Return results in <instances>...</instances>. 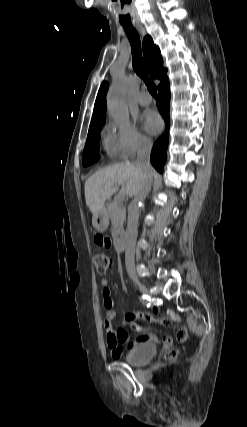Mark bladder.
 <instances>
[{
	"instance_id": "31cf9c89",
	"label": "bladder",
	"mask_w": 247,
	"mask_h": 427,
	"mask_svg": "<svg viewBox=\"0 0 247 427\" xmlns=\"http://www.w3.org/2000/svg\"><path fill=\"white\" fill-rule=\"evenodd\" d=\"M157 347L153 343L135 345L124 356L125 361L133 366H142L149 363L156 355Z\"/></svg>"
}]
</instances>
